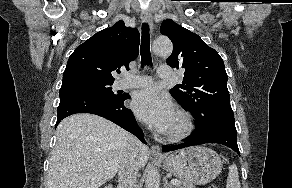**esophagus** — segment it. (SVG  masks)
I'll return each instance as SVG.
<instances>
[{"label": "esophagus", "instance_id": "1", "mask_svg": "<svg viewBox=\"0 0 292 188\" xmlns=\"http://www.w3.org/2000/svg\"><path fill=\"white\" fill-rule=\"evenodd\" d=\"M142 19L144 22L148 23L150 26L151 31L153 30V19H152V14L149 10H145L142 13ZM150 153L152 154V156L154 157H158L161 158L163 157L162 153H161V148L159 145H153L150 149Z\"/></svg>", "mask_w": 292, "mask_h": 188}]
</instances>
